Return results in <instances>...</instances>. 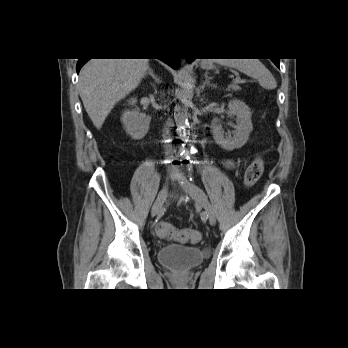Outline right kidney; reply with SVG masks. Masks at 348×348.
I'll use <instances>...</instances> for the list:
<instances>
[{"label":"right kidney","mask_w":348,"mask_h":348,"mask_svg":"<svg viewBox=\"0 0 348 348\" xmlns=\"http://www.w3.org/2000/svg\"><path fill=\"white\" fill-rule=\"evenodd\" d=\"M136 98L128 100L129 105L136 104ZM151 117L138 110H126L122 114L121 122L126 133L135 140L142 139L149 130Z\"/></svg>","instance_id":"1"}]
</instances>
